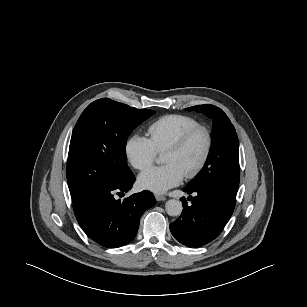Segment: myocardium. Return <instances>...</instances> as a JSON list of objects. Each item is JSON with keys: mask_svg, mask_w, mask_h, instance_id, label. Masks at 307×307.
I'll list each match as a JSON object with an SVG mask.
<instances>
[{"mask_svg": "<svg viewBox=\"0 0 307 307\" xmlns=\"http://www.w3.org/2000/svg\"><path fill=\"white\" fill-rule=\"evenodd\" d=\"M198 133L203 134L205 138V147L198 161L188 172L184 174L186 178L194 177L202 169V167L205 165L206 161L209 158L213 146V137L209 128L203 125H197L188 129L183 134H181L173 143H171L163 152L165 153L180 151L191 140V138Z\"/></svg>", "mask_w": 307, "mask_h": 307, "instance_id": "obj_1", "label": "myocardium"}]
</instances>
